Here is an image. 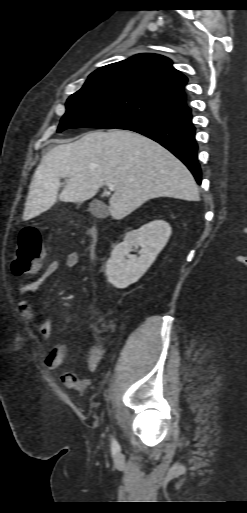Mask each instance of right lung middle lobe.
Wrapping results in <instances>:
<instances>
[{"mask_svg":"<svg viewBox=\"0 0 247 513\" xmlns=\"http://www.w3.org/2000/svg\"><path fill=\"white\" fill-rule=\"evenodd\" d=\"M169 109L143 95L118 88L78 91L66 103L57 132L68 128L113 129Z\"/></svg>","mask_w":247,"mask_h":513,"instance_id":"dd1d6c3e","label":"right lung middle lobe"}]
</instances>
